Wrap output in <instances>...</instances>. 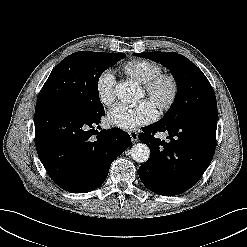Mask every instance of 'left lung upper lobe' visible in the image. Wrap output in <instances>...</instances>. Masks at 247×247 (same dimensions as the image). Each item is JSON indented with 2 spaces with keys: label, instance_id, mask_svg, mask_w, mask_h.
Listing matches in <instances>:
<instances>
[{
  "label": "left lung upper lobe",
  "instance_id": "left-lung-upper-lobe-1",
  "mask_svg": "<svg viewBox=\"0 0 247 247\" xmlns=\"http://www.w3.org/2000/svg\"><path fill=\"white\" fill-rule=\"evenodd\" d=\"M135 55L160 62L176 79L175 101L160 122L169 124L196 117L218 118L214 90L203 72L189 59L175 52L155 51Z\"/></svg>",
  "mask_w": 247,
  "mask_h": 247
}]
</instances>
